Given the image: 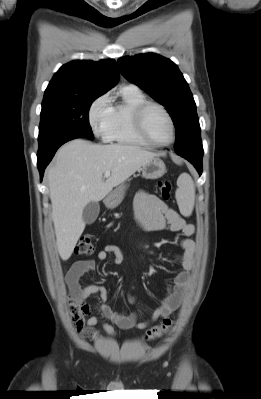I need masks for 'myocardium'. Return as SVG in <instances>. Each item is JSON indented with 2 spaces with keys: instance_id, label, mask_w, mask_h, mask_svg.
<instances>
[{
  "instance_id": "obj_1",
  "label": "myocardium",
  "mask_w": 261,
  "mask_h": 399,
  "mask_svg": "<svg viewBox=\"0 0 261 399\" xmlns=\"http://www.w3.org/2000/svg\"><path fill=\"white\" fill-rule=\"evenodd\" d=\"M151 108H158L163 112V114L166 116V118L169 121L170 127H171V138L168 142L165 143H160L156 142L153 139L150 138L146 131L145 127V115L147 111ZM132 120H133V126L136 134L141 138L144 142H146L150 146L154 147H167L170 146L171 144L174 143L176 139V125L174 122L173 117L169 113V111L161 104L153 101H146L139 106H137L132 114Z\"/></svg>"
}]
</instances>
